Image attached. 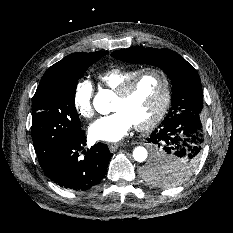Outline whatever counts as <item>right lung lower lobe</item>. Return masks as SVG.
<instances>
[{"label":"right lung lower lobe","instance_id":"1","mask_svg":"<svg viewBox=\"0 0 233 233\" xmlns=\"http://www.w3.org/2000/svg\"><path fill=\"white\" fill-rule=\"evenodd\" d=\"M84 145L86 138L82 130L53 160L41 166L44 173L59 186L71 190L84 191L96 185L104 177L112 153L99 142L80 159L79 151Z\"/></svg>","mask_w":233,"mask_h":233}]
</instances>
